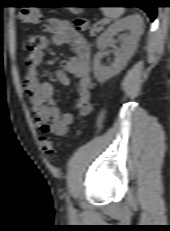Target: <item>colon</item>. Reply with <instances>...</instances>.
Instances as JSON below:
<instances>
[{"label": "colon", "instance_id": "obj_1", "mask_svg": "<svg viewBox=\"0 0 170 231\" xmlns=\"http://www.w3.org/2000/svg\"><path fill=\"white\" fill-rule=\"evenodd\" d=\"M42 18V15L38 9L26 7L23 8L19 13V19L23 23L35 24L38 23ZM75 25L79 30H86L89 27V22L83 17H78L75 20ZM35 44L28 42L25 47L28 51L34 49ZM42 149L48 157H52L61 147L59 142H56L50 137H43L41 140Z\"/></svg>", "mask_w": 170, "mask_h": 231}]
</instances>
